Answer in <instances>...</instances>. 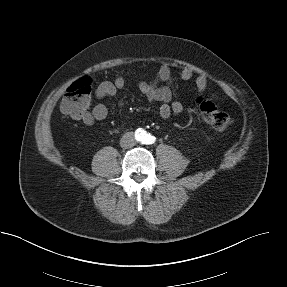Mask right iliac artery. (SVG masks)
Wrapping results in <instances>:
<instances>
[{
	"label": "right iliac artery",
	"instance_id": "right-iliac-artery-1",
	"mask_svg": "<svg viewBox=\"0 0 287 287\" xmlns=\"http://www.w3.org/2000/svg\"><path fill=\"white\" fill-rule=\"evenodd\" d=\"M135 135L136 137L138 138V140H143V138L145 137V131L144 130H141V129H138L136 132H135Z\"/></svg>",
	"mask_w": 287,
	"mask_h": 287
}]
</instances>
